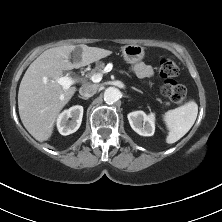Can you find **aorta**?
<instances>
[{"label":"aorta","mask_w":222,"mask_h":222,"mask_svg":"<svg viewBox=\"0 0 222 222\" xmlns=\"http://www.w3.org/2000/svg\"><path fill=\"white\" fill-rule=\"evenodd\" d=\"M120 94L119 89L108 87L104 92V101L108 104H113L119 100Z\"/></svg>","instance_id":"aorta-1"}]
</instances>
